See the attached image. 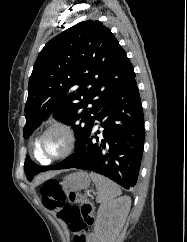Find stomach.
I'll return each mask as SVG.
<instances>
[{"label":"stomach","instance_id":"stomach-1","mask_svg":"<svg viewBox=\"0 0 187 242\" xmlns=\"http://www.w3.org/2000/svg\"><path fill=\"white\" fill-rule=\"evenodd\" d=\"M63 184L70 190L80 191L89 187L90 177L86 172H75L66 176L63 180Z\"/></svg>","mask_w":187,"mask_h":242}]
</instances>
